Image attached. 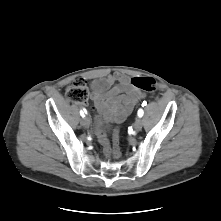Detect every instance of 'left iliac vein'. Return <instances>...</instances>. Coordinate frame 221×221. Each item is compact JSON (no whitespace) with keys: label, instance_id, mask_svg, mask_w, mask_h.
Masks as SVG:
<instances>
[{"label":"left iliac vein","instance_id":"left-iliac-vein-1","mask_svg":"<svg viewBox=\"0 0 221 221\" xmlns=\"http://www.w3.org/2000/svg\"><path fill=\"white\" fill-rule=\"evenodd\" d=\"M142 126H143V122H142V119L141 118H137L134 122V130L139 132L141 129H142Z\"/></svg>","mask_w":221,"mask_h":221}]
</instances>
